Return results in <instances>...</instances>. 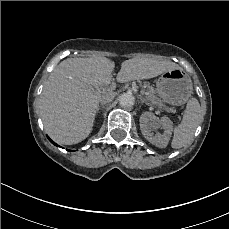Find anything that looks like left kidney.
<instances>
[{"mask_svg":"<svg viewBox=\"0 0 229 229\" xmlns=\"http://www.w3.org/2000/svg\"><path fill=\"white\" fill-rule=\"evenodd\" d=\"M161 124L163 134L160 137L152 136L149 131ZM140 127L145 138L156 147L165 148L171 136L172 123L167 117L157 119L151 112H145L140 116Z\"/></svg>","mask_w":229,"mask_h":229,"instance_id":"5707ae66","label":"left kidney"}]
</instances>
